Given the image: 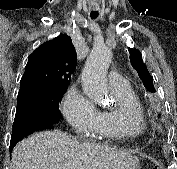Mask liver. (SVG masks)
Wrapping results in <instances>:
<instances>
[{
	"instance_id": "obj_1",
	"label": "liver",
	"mask_w": 177,
	"mask_h": 169,
	"mask_svg": "<svg viewBox=\"0 0 177 169\" xmlns=\"http://www.w3.org/2000/svg\"><path fill=\"white\" fill-rule=\"evenodd\" d=\"M137 162L130 152L43 131L15 146L11 169H133Z\"/></svg>"
}]
</instances>
